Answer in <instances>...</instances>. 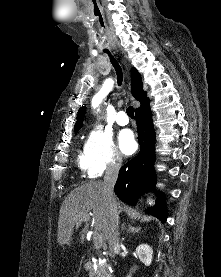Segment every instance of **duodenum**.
<instances>
[{"label": "duodenum", "mask_w": 221, "mask_h": 277, "mask_svg": "<svg viewBox=\"0 0 221 277\" xmlns=\"http://www.w3.org/2000/svg\"><path fill=\"white\" fill-rule=\"evenodd\" d=\"M91 265V261L86 262L85 266L89 267Z\"/></svg>", "instance_id": "410a0bca"}]
</instances>
